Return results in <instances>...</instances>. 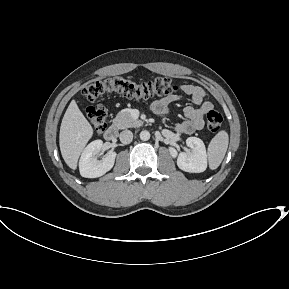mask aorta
Here are the masks:
<instances>
[{"label": "aorta", "mask_w": 289, "mask_h": 289, "mask_svg": "<svg viewBox=\"0 0 289 289\" xmlns=\"http://www.w3.org/2000/svg\"><path fill=\"white\" fill-rule=\"evenodd\" d=\"M140 139L142 141H147L150 139V133L147 130L141 131L140 133Z\"/></svg>", "instance_id": "obj_1"}]
</instances>
